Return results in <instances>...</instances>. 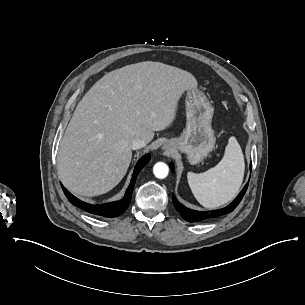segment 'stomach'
<instances>
[{
	"instance_id": "stomach-1",
	"label": "stomach",
	"mask_w": 305,
	"mask_h": 305,
	"mask_svg": "<svg viewBox=\"0 0 305 305\" xmlns=\"http://www.w3.org/2000/svg\"><path fill=\"white\" fill-rule=\"evenodd\" d=\"M187 126L181 138L170 141V149L187 154L191 164H197L213 149L215 136L211 128L214 108L197 89L188 90L186 98Z\"/></svg>"
}]
</instances>
